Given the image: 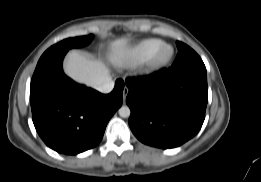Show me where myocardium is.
Wrapping results in <instances>:
<instances>
[{
  "label": "myocardium",
  "mask_w": 261,
  "mask_h": 182,
  "mask_svg": "<svg viewBox=\"0 0 261 182\" xmlns=\"http://www.w3.org/2000/svg\"><path fill=\"white\" fill-rule=\"evenodd\" d=\"M174 56V49L171 45L165 44L163 45L154 55L153 57L147 61L146 64V72L154 73L160 71L164 67H166Z\"/></svg>",
  "instance_id": "obj_1"
}]
</instances>
